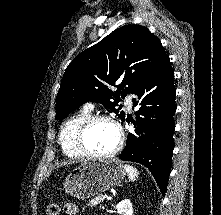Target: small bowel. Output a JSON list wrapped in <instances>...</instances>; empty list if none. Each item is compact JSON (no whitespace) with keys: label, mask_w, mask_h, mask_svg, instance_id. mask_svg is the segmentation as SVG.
I'll use <instances>...</instances> for the list:
<instances>
[{"label":"small bowel","mask_w":221,"mask_h":215,"mask_svg":"<svg viewBox=\"0 0 221 215\" xmlns=\"http://www.w3.org/2000/svg\"><path fill=\"white\" fill-rule=\"evenodd\" d=\"M64 212L66 215H79V209L74 203H66L64 205Z\"/></svg>","instance_id":"small-bowel-1"}]
</instances>
